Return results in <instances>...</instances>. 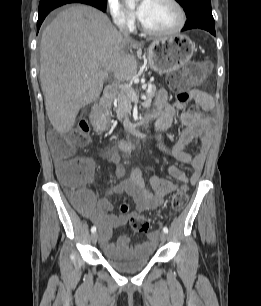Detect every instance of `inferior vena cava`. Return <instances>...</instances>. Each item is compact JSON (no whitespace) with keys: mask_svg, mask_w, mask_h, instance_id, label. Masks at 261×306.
I'll return each instance as SVG.
<instances>
[{"mask_svg":"<svg viewBox=\"0 0 261 306\" xmlns=\"http://www.w3.org/2000/svg\"><path fill=\"white\" fill-rule=\"evenodd\" d=\"M120 32L122 33L124 38H129V31L125 23H117Z\"/></svg>","mask_w":261,"mask_h":306,"instance_id":"obj_1","label":"inferior vena cava"}]
</instances>
